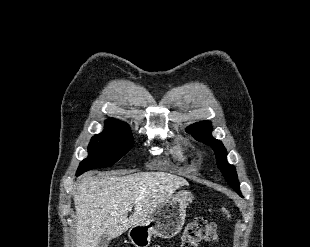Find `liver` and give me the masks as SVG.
Masks as SVG:
<instances>
[{
  "instance_id": "obj_1",
  "label": "liver",
  "mask_w": 310,
  "mask_h": 247,
  "mask_svg": "<svg viewBox=\"0 0 310 247\" xmlns=\"http://www.w3.org/2000/svg\"><path fill=\"white\" fill-rule=\"evenodd\" d=\"M186 185V179L163 171L83 176L74 194L76 247H98L103 235L119 237ZM132 204L134 211L128 217Z\"/></svg>"
}]
</instances>
